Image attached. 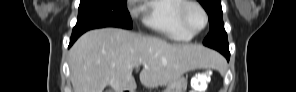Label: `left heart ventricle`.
<instances>
[{
  "label": "left heart ventricle",
  "mask_w": 296,
  "mask_h": 92,
  "mask_svg": "<svg viewBox=\"0 0 296 92\" xmlns=\"http://www.w3.org/2000/svg\"><path fill=\"white\" fill-rule=\"evenodd\" d=\"M187 20L192 30H199L203 27L204 16L201 11L195 7L189 9Z\"/></svg>",
  "instance_id": "obj_1"
}]
</instances>
